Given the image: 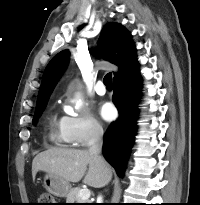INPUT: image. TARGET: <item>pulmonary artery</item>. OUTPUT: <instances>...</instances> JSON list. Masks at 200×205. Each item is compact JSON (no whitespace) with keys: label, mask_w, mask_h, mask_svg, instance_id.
Returning <instances> with one entry per match:
<instances>
[{"label":"pulmonary artery","mask_w":200,"mask_h":205,"mask_svg":"<svg viewBox=\"0 0 200 205\" xmlns=\"http://www.w3.org/2000/svg\"><path fill=\"white\" fill-rule=\"evenodd\" d=\"M95 91H96V93L98 94V95H105V93H106V88H105V86H104V84H103V82L102 81H98L97 83H96V85H95Z\"/></svg>","instance_id":"obj_1"}]
</instances>
